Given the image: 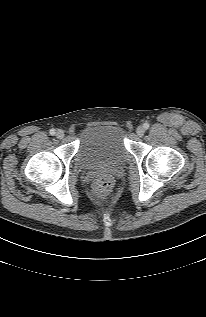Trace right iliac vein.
Wrapping results in <instances>:
<instances>
[{
  "label": "right iliac vein",
  "mask_w": 206,
  "mask_h": 317,
  "mask_svg": "<svg viewBox=\"0 0 206 317\" xmlns=\"http://www.w3.org/2000/svg\"><path fill=\"white\" fill-rule=\"evenodd\" d=\"M55 134H56V137L59 139H62L65 135L62 129H58Z\"/></svg>",
  "instance_id": "1"
}]
</instances>
